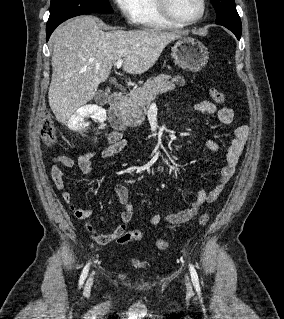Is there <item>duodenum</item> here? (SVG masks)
I'll return each mask as SVG.
<instances>
[{
  "label": "duodenum",
  "instance_id": "1",
  "mask_svg": "<svg viewBox=\"0 0 284 319\" xmlns=\"http://www.w3.org/2000/svg\"><path fill=\"white\" fill-rule=\"evenodd\" d=\"M125 95L120 91H114L109 98V121L116 131H124L127 128L126 120L122 114V106L125 102Z\"/></svg>",
  "mask_w": 284,
  "mask_h": 319
}]
</instances>
